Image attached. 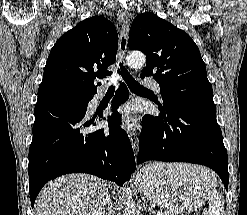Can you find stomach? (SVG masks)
I'll return each instance as SVG.
<instances>
[{
  "mask_svg": "<svg viewBox=\"0 0 247 215\" xmlns=\"http://www.w3.org/2000/svg\"><path fill=\"white\" fill-rule=\"evenodd\" d=\"M190 164L152 163L137 174V186L150 201L171 215L197 210L209 197L216 179L207 169Z\"/></svg>",
  "mask_w": 247,
  "mask_h": 215,
  "instance_id": "1",
  "label": "stomach"
}]
</instances>
